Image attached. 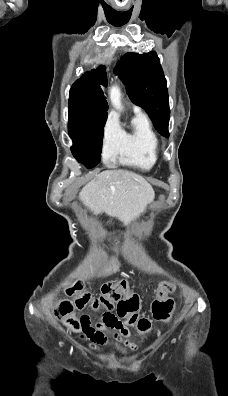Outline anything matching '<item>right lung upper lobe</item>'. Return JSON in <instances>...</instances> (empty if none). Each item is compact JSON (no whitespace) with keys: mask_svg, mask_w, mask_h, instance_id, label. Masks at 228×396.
Masks as SVG:
<instances>
[{"mask_svg":"<svg viewBox=\"0 0 228 396\" xmlns=\"http://www.w3.org/2000/svg\"><path fill=\"white\" fill-rule=\"evenodd\" d=\"M102 86H107L106 67L101 65L82 75L71 87L69 108L83 115H95L108 110Z\"/></svg>","mask_w":228,"mask_h":396,"instance_id":"right-lung-upper-lobe-1","label":"right lung upper lobe"}]
</instances>
